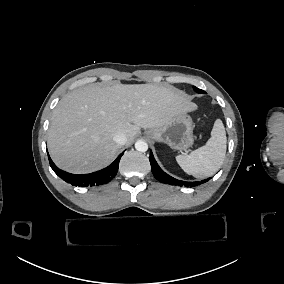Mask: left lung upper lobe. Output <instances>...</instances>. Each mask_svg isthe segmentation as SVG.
<instances>
[{"label":"left lung upper lobe","instance_id":"obj_1","mask_svg":"<svg viewBox=\"0 0 284 284\" xmlns=\"http://www.w3.org/2000/svg\"><path fill=\"white\" fill-rule=\"evenodd\" d=\"M194 90L197 92V93H200V94H204L205 92L201 89H198L197 87H193Z\"/></svg>","mask_w":284,"mask_h":284}]
</instances>
